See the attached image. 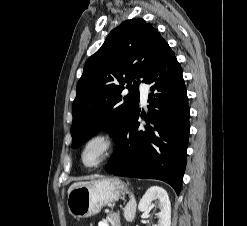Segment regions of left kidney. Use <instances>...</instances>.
Here are the masks:
<instances>
[{
	"label": "left kidney",
	"mask_w": 247,
	"mask_h": 226,
	"mask_svg": "<svg viewBox=\"0 0 247 226\" xmlns=\"http://www.w3.org/2000/svg\"><path fill=\"white\" fill-rule=\"evenodd\" d=\"M153 201L159 202L160 212L156 214L158 217L157 226L171 225V204L168 193L161 187H150L139 201L138 209L141 212L148 213Z\"/></svg>",
	"instance_id": "5707ae66"
}]
</instances>
